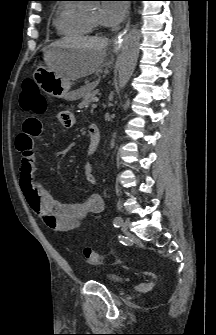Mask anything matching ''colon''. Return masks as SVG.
<instances>
[{"label": "colon", "mask_w": 216, "mask_h": 335, "mask_svg": "<svg viewBox=\"0 0 216 335\" xmlns=\"http://www.w3.org/2000/svg\"><path fill=\"white\" fill-rule=\"evenodd\" d=\"M20 104L25 111L34 114L45 112L47 108L46 99L34 80L28 79L23 82ZM83 255L86 262L91 265L100 264L102 261V254L91 247H85Z\"/></svg>", "instance_id": "obj_1"}]
</instances>
